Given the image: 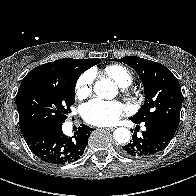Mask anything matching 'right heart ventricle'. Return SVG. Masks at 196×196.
I'll use <instances>...</instances> for the list:
<instances>
[{
    "label": "right heart ventricle",
    "mask_w": 196,
    "mask_h": 196,
    "mask_svg": "<svg viewBox=\"0 0 196 196\" xmlns=\"http://www.w3.org/2000/svg\"><path fill=\"white\" fill-rule=\"evenodd\" d=\"M105 74L112 78L118 85L126 87L133 81L131 72L120 65H109L105 69Z\"/></svg>",
    "instance_id": "e07e8e85"
}]
</instances>
